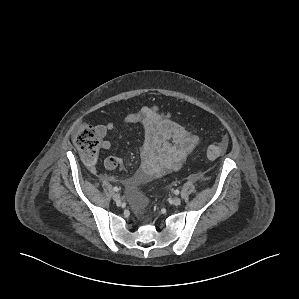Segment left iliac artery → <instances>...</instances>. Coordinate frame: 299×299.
I'll return each mask as SVG.
<instances>
[{
  "mask_svg": "<svg viewBox=\"0 0 299 299\" xmlns=\"http://www.w3.org/2000/svg\"><path fill=\"white\" fill-rule=\"evenodd\" d=\"M174 193H175L176 195H178V194L180 193V191L177 189V190L174 191Z\"/></svg>",
  "mask_w": 299,
  "mask_h": 299,
  "instance_id": "obj_1",
  "label": "left iliac artery"
}]
</instances>
